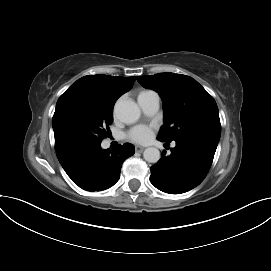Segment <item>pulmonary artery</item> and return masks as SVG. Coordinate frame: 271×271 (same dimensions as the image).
<instances>
[{"mask_svg":"<svg viewBox=\"0 0 271 271\" xmlns=\"http://www.w3.org/2000/svg\"><path fill=\"white\" fill-rule=\"evenodd\" d=\"M138 103L143 112L148 116L155 115L160 107V99L157 93L149 91L138 96Z\"/></svg>","mask_w":271,"mask_h":271,"instance_id":"pulmonary-artery-1","label":"pulmonary artery"}]
</instances>
